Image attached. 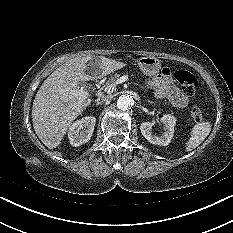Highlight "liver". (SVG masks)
Returning a JSON list of instances; mask_svg holds the SVG:
<instances>
[{"label": "liver", "mask_w": 233, "mask_h": 233, "mask_svg": "<svg viewBox=\"0 0 233 233\" xmlns=\"http://www.w3.org/2000/svg\"><path fill=\"white\" fill-rule=\"evenodd\" d=\"M92 56L75 57L57 68L39 88L32 107L34 130L49 149L56 148L72 122L90 105L91 99L80 101L69 90L79 83L101 79L126 64L104 56L87 74L86 64Z\"/></svg>", "instance_id": "liver-1"}]
</instances>
